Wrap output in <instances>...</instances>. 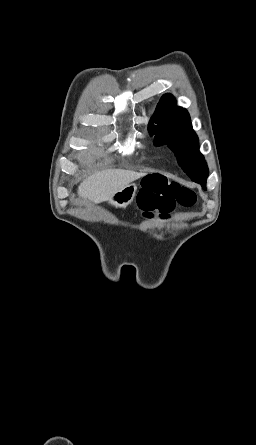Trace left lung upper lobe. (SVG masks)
Wrapping results in <instances>:
<instances>
[{"label": "left lung upper lobe", "instance_id": "1", "mask_svg": "<svg viewBox=\"0 0 256 445\" xmlns=\"http://www.w3.org/2000/svg\"><path fill=\"white\" fill-rule=\"evenodd\" d=\"M148 131L150 135L155 134L156 145L167 144L175 152L179 165L192 181L206 183L208 167L199 151L198 137L192 130L190 116L186 109L176 106L171 94L161 97Z\"/></svg>", "mask_w": 256, "mask_h": 445}]
</instances>
